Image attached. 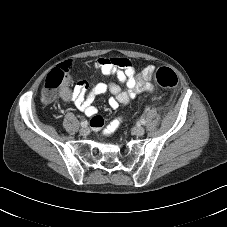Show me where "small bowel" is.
I'll return each mask as SVG.
<instances>
[{"mask_svg": "<svg viewBox=\"0 0 227 227\" xmlns=\"http://www.w3.org/2000/svg\"><path fill=\"white\" fill-rule=\"evenodd\" d=\"M62 65L69 66L68 63H63ZM94 65L103 75L114 76L116 81L109 83L95 82L93 84L79 81L71 87H64L60 90V96L63 101L74 104L88 117L97 114V109L93 102L98 95L105 92L112 94L109 99V105L112 108L126 105L136 95L144 92L155 94V88L149 81L154 71V66L152 65L144 67L139 73H136L134 65L127 59L99 57ZM115 122H110L106 125L102 124L96 130L111 134L114 132Z\"/></svg>", "mask_w": 227, "mask_h": 227, "instance_id": "obj_1", "label": "small bowel"}]
</instances>
